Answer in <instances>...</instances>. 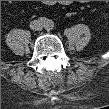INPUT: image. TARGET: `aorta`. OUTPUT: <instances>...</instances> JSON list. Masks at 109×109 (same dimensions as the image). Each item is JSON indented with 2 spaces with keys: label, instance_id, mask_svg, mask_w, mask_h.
Masks as SVG:
<instances>
[{
  "label": "aorta",
  "instance_id": "aorta-1",
  "mask_svg": "<svg viewBox=\"0 0 109 109\" xmlns=\"http://www.w3.org/2000/svg\"><path fill=\"white\" fill-rule=\"evenodd\" d=\"M53 26H54V23L50 21L49 24L46 26V28H52Z\"/></svg>",
  "mask_w": 109,
  "mask_h": 109
}]
</instances>
